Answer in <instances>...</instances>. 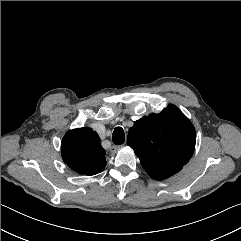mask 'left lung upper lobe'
I'll list each match as a JSON object with an SVG mask.
<instances>
[{"label": "left lung upper lobe", "instance_id": "1", "mask_svg": "<svg viewBox=\"0 0 241 241\" xmlns=\"http://www.w3.org/2000/svg\"><path fill=\"white\" fill-rule=\"evenodd\" d=\"M195 143L194 126L173 104L159 114L135 121L127 139L142 167L155 180L179 172L190 160Z\"/></svg>", "mask_w": 241, "mask_h": 241}]
</instances>
